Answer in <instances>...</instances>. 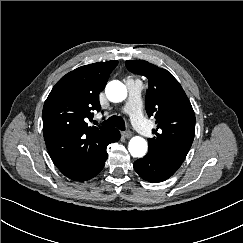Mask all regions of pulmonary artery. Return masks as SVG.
I'll return each mask as SVG.
<instances>
[{"label":"pulmonary artery","mask_w":243,"mask_h":243,"mask_svg":"<svg viewBox=\"0 0 243 243\" xmlns=\"http://www.w3.org/2000/svg\"><path fill=\"white\" fill-rule=\"evenodd\" d=\"M128 100L123 108V112L127 113L134 127L145 137L151 135V129L144 119L141 111V90L142 84L136 80H127Z\"/></svg>","instance_id":"e3ab8cb5"}]
</instances>
